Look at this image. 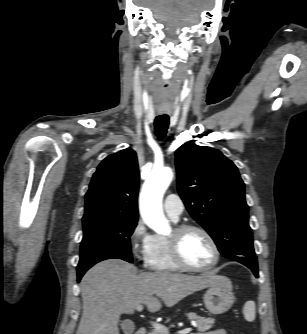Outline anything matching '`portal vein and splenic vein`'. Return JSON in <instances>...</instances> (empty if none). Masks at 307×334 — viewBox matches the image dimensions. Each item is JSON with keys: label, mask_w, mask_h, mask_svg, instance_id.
<instances>
[{"label": "portal vein and splenic vein", "mask_w": 307, "mask_h": 334, "mask_svg": "<svg viewBox=\"0 0 307 334\" xmlns=\"http://www.w3.org/2000/svg\"><path fill=\"white\" fill-rule=\"evenodd\" d=\"M143 308H144V306L141 304V305H138L136 307V310L138 312H141L143 310ZM152 326H153L154 330L163 332L165 334L169 333L168 328L166 326L162 325V324L152 322ZM191 331H192V328H185V329H182V330L178 331V333L179 334H186V333H190Z\"/></svg>", "instance_id": "obj_1"}]
</instances>
